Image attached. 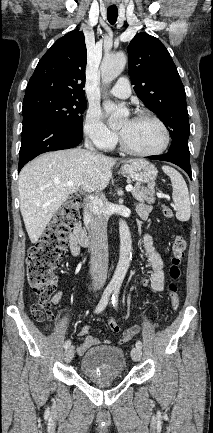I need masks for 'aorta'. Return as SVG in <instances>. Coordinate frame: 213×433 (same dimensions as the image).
I'll list each match as a JSON object with an SVG mask.
<instances>
[{
    "label": "aorta",
    "instance_id": "762f6f07",
    "mask_svg": "<svg viewBox=\"0 0 213 433\" xmlns=\"http://www.w3.org/2000/svg\"><path fill=\"white\" fill-rule=\"evenodd\" d=\"M126 62L127 59L124 53L105 55L100 67L103 82L110 83L118 77L122 73ZM103 107L106 112L111 114V126H115L122 115L126 112L125 108L118 106L109 100L104 101ZM119 234L120 255L116 270L109 284L112 288L121 287L132 258V240L130 230L127 223L122 219L119 221Z\"/></svg>",
    "mask_w": 213,
    "mask_h": 433
}]
</instances>
